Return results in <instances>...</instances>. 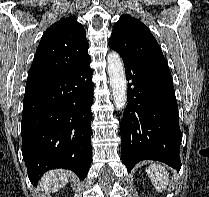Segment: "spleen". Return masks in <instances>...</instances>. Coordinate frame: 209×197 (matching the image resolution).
I'll return each mask as SVG.
<instances>
[{
  "instance_id": "obj_1",
  "label": "spleen",
  "mask_w": 209,
  "mask_h": 197,
  "mask_svg": "<svg viewBox=\"0 0 209 197\" xmlns=\"http://www.w3.org/2000/svg\"><path fill=\"white\" fill-rule=\"evenodd\" d=\"M146 172L158 192L161 193L167 188L169 177L163 165L153 163L146 169Z\"/></svg>"
}]
</instances>
